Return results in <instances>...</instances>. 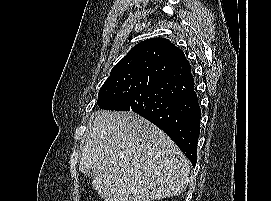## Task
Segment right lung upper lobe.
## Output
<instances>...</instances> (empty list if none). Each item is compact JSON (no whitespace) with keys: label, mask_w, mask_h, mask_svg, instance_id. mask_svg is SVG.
Returning <instances> with one entry per match:
<instances>
[{"label":"right lung upper lobe","mask_w":271,"mask_h":201,"mask_svg":"<svg viewBox=\"0 0 271 201\" xmlns=\"http://www.w3.org/2000/svg\"><path fill=\"white\" fill-rule=\"evenodd\" d=\"M176 48L168 39L151 38L134 46L111 70L110 76L140 69H151L163 56Z\"/></svg>","instance_id":"obj_1"}]
</instances>
